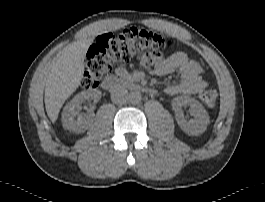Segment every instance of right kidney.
<instances>
[{
	"instance_id": "obj_1",
	"label": "right kidney",
	"mask_w": 265,
	"mask_h": 202,
	"mask_svg": "<svg viewBox=\"0 0 265 202\" xmlns=\"http://www.w3.org/2000/svg\"><path fill=\"white\" fill-rule=\"evenodd\" d=\"M100 98L101 91L96 89H87L74 96L63 109V127L75 133L84 132L88 127L90 117L78 115V109L84 100H94L97 102Z\"/></svg>"
}]
</instances>
